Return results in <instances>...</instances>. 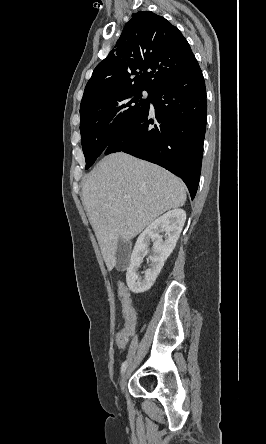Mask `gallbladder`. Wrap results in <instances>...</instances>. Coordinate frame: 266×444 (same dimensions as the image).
Instances as JSON below:
<instances>
[{
  "label": "gallbladder",
  "mask_w": 266,
  "mask_h": 444,
  "mask_svg": "<svg viewBox=\"0 0 266 444\" xmlns=\"http://www.w3.org/2000/svg\"><path fill=\"white\" fill-rule=\"evenodd\" d=\"M129 243L119 239L116 247V269L123 270L128 263Z\"/></svg>",
  "instance_id": "gallbladder-1"
}]
</instances>
